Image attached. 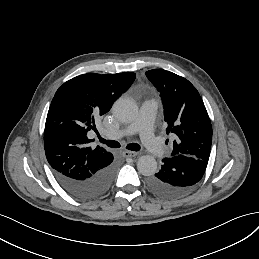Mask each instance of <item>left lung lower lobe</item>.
Wrapping results in <instances>:
<instances>
[{"label":"left lung lower lobe","mask_w":259,"mask_h":259,"mask_svg":"<svg viewBox=\"0 0 259 259\" xmlns=\"http://www.w3.org/2000/svg\"><path fill=\"white\" fill-rule=\"evenodd\" d=\"M162 169L147 179L148 188L168 199L182 197L191 192L201 180L208 161L183 154L164 158Z\"/></svg>","instance_id":"0a47b994"}]
</instances>
